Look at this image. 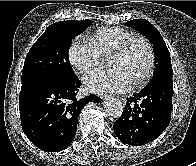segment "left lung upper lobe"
Here are the masks:
<instances>
[{
	"label": "left lung upper lobe",
	"mask_w": 196,
	"mask_h": 166,
	"mask_svg": "<svg viewBox=\"0 0 196 166\" xmlns=\"http://www.w3.org/2000/svg\"><path fill=\"white\" fill-rule=\"evenodd\" d=\"M126 25L138 30L153 45L156 68L151 81L173 77L170 53L158 30L145 19H134L126 22Z\"/></svg>",
	"instance_id": "1"
}]
</instances>
